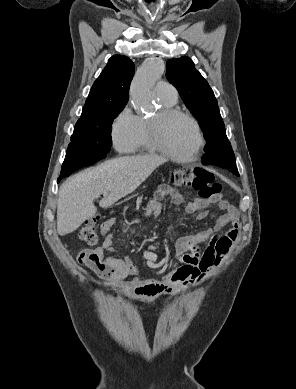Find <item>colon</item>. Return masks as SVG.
Listing matches in <instances>:
<instances>
[{
    "label": "colon",
    "mask_w": 296,
    "mask_h": 389,
    "mask_svg": "<svg viewBox=\"0 0 296 389\" xmlns=\"http://www.w3.org/2000/svg\"><path fill=\"white\" fill-rule=\"evenodd\" d=\"M172 181L179 187H191L197 191L201 199L216 201L220 198L221 185L215 181L214 175L203 168L182 167L172 175ZM79 239L89 245L98 241L97 219L85 221L78 229Z\"/></svg>",
    "instance_id": "colon-1"
}]
</instances>
